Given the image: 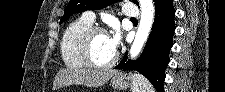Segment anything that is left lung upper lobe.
Listing matches in <instances>:
<instances>
[{"mask_svg":"<svg viewBox=\"0 0 225 92\" xmlns=\"http://www.w3.org/2000/svg\"><path fill=\"white\" fill-rule=\"evenodd\" d=\"M118 1L119 0H70L65 9L64 15L60 20V24L66 21L69 16L73 15L74 13L83 12L86 10L102 9ZM154 1L156 2L157 0ZM132 2L138 5L137 0H132Z\"/></svg>","mask_w":225,"mask_h":92,"instance_id":"obj_1","label":"left lung upper lobe"}]
</instances>
